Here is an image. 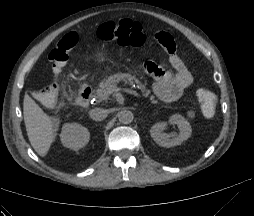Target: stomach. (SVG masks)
Listing matches in <instances>:
<instances>
[{
  "instance_id": "1",
  "label": "stomach",
  "mask_w": 254,
  "mask_h": 216,
  "mask_svg": "<svg viewBox=\"0 0 254 216\" xmlns=\"http://www.w3.org/2000/svg\"><path fill=\"white\" fill-rule=\"evenodd\" d=\"M105 61H106V51L101 50V51L97 52V54L95 55L92 67H100L101 65H104ZM104 70L106 72L113 71L114 65H106V66H104Z\"/></svg>"
}]
</instances>
